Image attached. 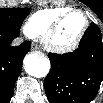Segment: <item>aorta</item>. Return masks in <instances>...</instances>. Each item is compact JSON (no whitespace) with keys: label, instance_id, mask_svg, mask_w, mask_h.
<instances>
[{"label":"aorta","instance_id":"762f6f07","mask_svg":"<svg viewBox=\"0 0 103 103\" xmlns=\"http://www.w3.org/2000/svg\"><path fill=\"white\" fill-rule=\"evenodd\" d=\"M24 68L28 75L37 78L45 77L50 70V61L38 54H30L24 58Z\"/></svg>","mask_w":103,"mask_h":103}]
</instances>
